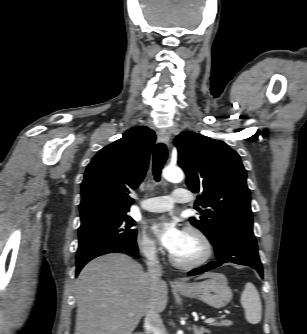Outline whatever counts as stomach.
Here are the masks:
<instances>
[{"mask_svg":"<svg viewBox=\"0 0 307 334\" xmlns=\"http://www.w3.org/2000/svg\"><path fill=\"white\" fill-rule=\"evenodd\" d=\"M177 291L185 297L201 300L217 309L225 307L233 296L226 277L219 273H212L206 280L188 284L186 288Z\"/></svg>","mask_w":307,"mask_h":334,"instance_id":"0dacf381","label":"stomach"}]
</instances>
